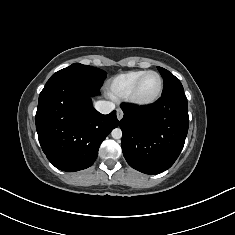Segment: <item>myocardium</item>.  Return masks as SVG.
Segmentation results:
<instances>
[{"label":"myocardium","instance_id":"1","mask_svg":"<svg viewBox=\"0 0 235 235\" xmlns=\"http://www.w3.org/2000/svg\"><path fill=\"white\" fill-rule=\"evenodd\" d=\"M148 74H155L158 79H159V89L158 92L156 93V95L150 99H140L137 97V90L138 87L140 85V83L142 82V80L145 78V76H147ZM163 87H164V83H163V79L161 77V75L154 71V70H148L145 71L134 83V85L132 86L128 96H127V100L133 104L136 107H140V108H144V107H149L151 105H153L154 103H156L159 98L162 95L163 92Z\"/></svg>","mask_w":235,"mask_h":235}]
</instances>
